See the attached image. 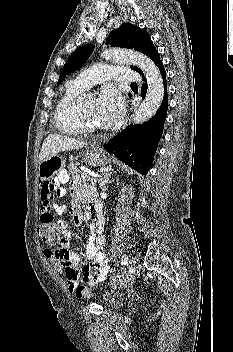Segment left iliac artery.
<instances>
[{
  "label": "left iliac artery",
  "instance_id": "44dca946",
  "mask_svg": "<svg viewBox=\"0 0 233 352\" xmlns=\"http://www.w3.org/2000/svg\"><path fill=\"white\" fill-rule=\"evenodd\" d=\"M128 262H129L128 256H126V255L122 256V258H121V263H122L123 265H127Z\"/></svg>",
  "mask_w": 233,
  "mask_h": 352
}]
</instances>
